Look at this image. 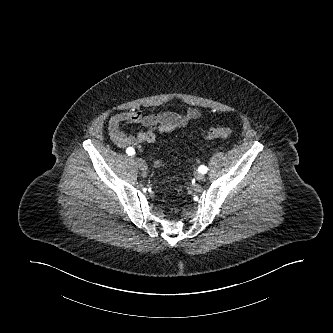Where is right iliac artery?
<instances>
[{
  "mask_svg": "<svg viewBox=\"0 0 333 333\" xmlns=\"http://www.w3.org/2000/svg\"><path fill=\"white\" fill-rule=\"evenodd\" d=\"M126 153L129 155V156H132L135 154V150L132 148V147H128L126 149Z\"/></svg>",
  "mask_w": 333,
  "mask_h": 333,
  "instance_id": "82829eb1",
  "label": "right iliac artery"
}]
</instances>
